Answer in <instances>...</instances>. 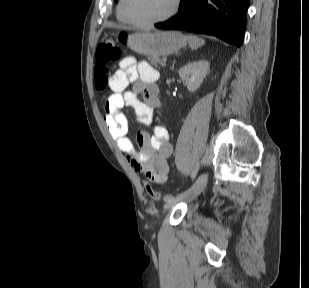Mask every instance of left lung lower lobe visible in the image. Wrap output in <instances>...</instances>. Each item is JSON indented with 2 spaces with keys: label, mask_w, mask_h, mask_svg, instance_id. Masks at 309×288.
<instances>
[{
  "label": "left lung lower lobe",
  "mask_w": 309,
  "mask_h": 288,
  "mask_svg": "<svg viewBox=\"0 0 309 288\" xmlns=\"http://www.w3.org/2000/svg\"><path fill=\"white\" fill-rule=\"evenodd\" d=\"M250 0H181L179 13L155 24L159 29L188 30L216 36L239 47Z\"/></svg>",
  "instance_id": "1"
}]
</instances>
